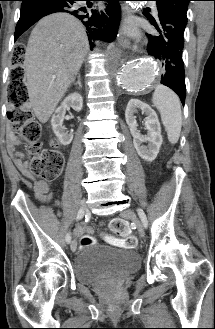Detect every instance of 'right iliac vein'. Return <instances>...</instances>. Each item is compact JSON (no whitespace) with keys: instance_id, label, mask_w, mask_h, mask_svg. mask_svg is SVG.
I'll return each mask as SVG.
<instances>
[{"instance_id":"1","label":"right iliac vein","mask_w":215,"mask_h":329,"mask_svg":"<svg viewBox=\"0 0 215 329\" xmlns=\"http://www.w3.org/2000/svg\"><path fill=\"white\" fill-rule=\"evenodd\" d=\"M80 210H82L83 212H85V210H86V201H85V199H83V200L80 202ZM70 247H71V250H72L73 252L76 251V249H77V241H76L75 239L71 242Z\"/></svg>"}]
</instances>
